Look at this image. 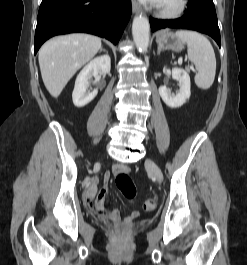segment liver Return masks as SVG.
Segmentation results:
<instances>
[{
    "instance_id": "obj_1",
    "label": "liver",
    "mask_w": 247,
    "mask_h": 265,
    "mask_svg": "<svg viewBox=\"0 0 247 265\" xmlns=\"http://www.w3.org/2000/svg\"><path fill=\"white\" fill-rule=\"evenodd\" d=\"M101 39L88 34H69L47 41L39 50L42 79L57 98L73 75L101 49Z\"/></svg>"
}]
</instances>
